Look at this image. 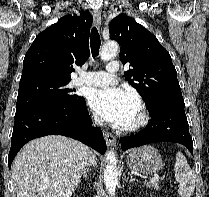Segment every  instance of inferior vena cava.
Segmentation results:
<instances>
[{"mask_svg": "<svg viewBox=\"0 0 209 197\" xmlns=\"http://www.w3.org/2000/svg\"><path fill=\"white\" fill-rule=\"evenodd\" d=\"M93 125H99L102 126L103 125V120L99 117H95L93 120ZM92 151L88 148V158H87V162H86V166H90V165H96L95 159L93 158V156L91 155Z\"/></svg>", "mask_w": 209, "mask_h": 197, "instance_id": "602c4592", "label": "inferior vena cava"}]
</instances>
